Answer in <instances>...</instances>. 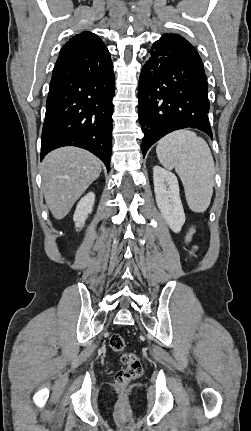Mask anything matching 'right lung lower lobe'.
Wrapping results in <instances>:
<instances>
[{
    "label": "right lung lower lobe",
    "mask_w": 251,
    "mask_h": 431,
    "mask_svg": "<svg viewBox=\"0 0 251 431\" xmlns=\"http://www.w3.org/2000/svg\"><path fill=\"white\" fill-rule=\"evenodd\" d=\"M114 93L106 47L60 51L46 102L41 160L58 147L77 146L95 154L109 171Z\"/></svg>",
    "instance_id": "right-lung-lower-lobe-1"
}]
</instances>
